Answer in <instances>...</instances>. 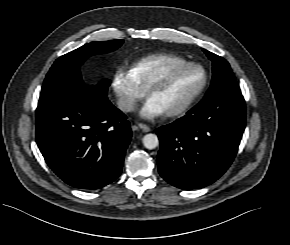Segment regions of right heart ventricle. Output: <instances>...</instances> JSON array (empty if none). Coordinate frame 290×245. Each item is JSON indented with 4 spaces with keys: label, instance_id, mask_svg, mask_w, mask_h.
I'll list each match as a JSON object with an SVG mask.
<instances>
[{
    "label": "right heart ventricle",
    "instance_id": "right-heart-ventricle-1",
    "mask_svg": "<svg viewBox=\"0 0 290 245\" xmlns=\"http://www.w3.org/2000/svg\"><path fill=\"white\" fill-rule=\"evenodd\" d=\"M188 62L185 58L174 54H155L134 63L131 72L141 88L146 90L151 81L167 69Z\"/></svg>",
    "mask_w": 290,
    "mask_h": 245
}]
</instances>
